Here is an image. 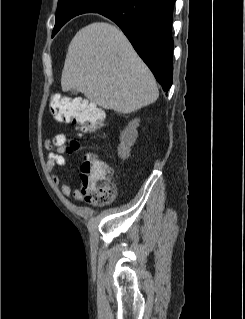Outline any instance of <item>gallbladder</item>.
<instances>
[{
    "instance_id": "obj_1",
    "label": "gallbladder",
    "mask_w": 245,
    "mask_h": 319,
    "mask_svg": "<svg viewBox=\"0 0 245 319\" xmlns=\"http://www.w3.org/2000/svg\"><path fill=\"white\" fill-rule=\"evenodd\" d=\"M70 92H71L72 94H77V91L74 90V89H71Z\"/></svg>"
}]
</instances>
